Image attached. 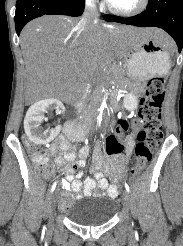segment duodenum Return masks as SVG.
<instances>
[{"label": "duodenum", "instance_id": "1", "mask_svg": "<svg viewBox=\"0 0 183 246\" xmlns=\"http://www.w3.org/2000/svg\"><path fill=\"white\" fill-rule=\"evenodd\" d=\"M64 134L72 140L76 141H81L82 138L84 137L83 133H80V129L78 126L75 124L74 121H69L65 124L64 126ZM85 139V138H84ZM94 150L95 151H100L101 147L99 146L98 143L94 144Z\"/></svg>", "mask_w": 183, "mask_h": 246}]
</instances>
